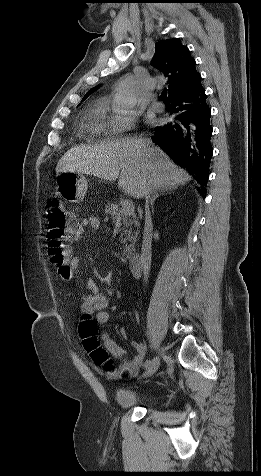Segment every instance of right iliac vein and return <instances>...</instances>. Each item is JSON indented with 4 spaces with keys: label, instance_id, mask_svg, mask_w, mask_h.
I'll return each instance as SVG.
<instances>
[{
    "label": "right iliac vein",
    "instance_id": "right-iliac-vein-1",
    "mask_svg": "<svg viewBox=\"0 0 261 476\" xmlns=\"http://www.w3.org/2000/svg\"><path fill=\"white\" fill-rule=\"evenodd\" d=\"M164 350L162 348H159V355H162ZM156 356L152 359L151 363L149 366L146 368L145 376H151L153 375L159 368L160 365V357Z\"/></svg>",
    "mask_w": 261,
    "mask_h": 476
}]
</instances>
